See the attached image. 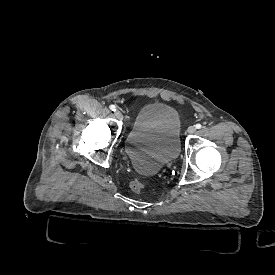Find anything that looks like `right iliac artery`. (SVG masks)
<instances>
[{
  "label": "right iliac artery",
  "mask_w": 275,
  "mask_h": 275,
  "mask_svg": "<svg viewBox=\"0 0 275 275\" xmlns=\"http://www.w3.org/2000/svg\"><path fill=\"white\" fill-rule=\"evenodd\" d=\"M109 108H110L112 111H116V106H115V105H110Z\"/></svg>",
  "instance_id": "right-iliac-artery-1"
}]
</instances>
